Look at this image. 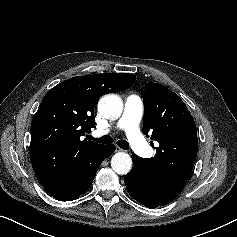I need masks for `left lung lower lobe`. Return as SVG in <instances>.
Returning a JSON list of instances; mask_svg holds the SVG:
<instances>
[{
    "label": "left lung lower lobe",
    "mask_w": 237,
    "mask_h": 237,
    "mask_svg": "<svg viewBox=\"0 0 237 237\" xmlns=\"http://www.w3.org/2000/svg\"><path fill=\"white\" fill-rule=\"evenodd\" d=\"M134 166L125 175L128 193L140 204L155 209L172 202L186 183L160 181L158 177L144 172L142 158L132 154Z\"/></svg>",
    "instance_id": "1"
}]
</instances>
